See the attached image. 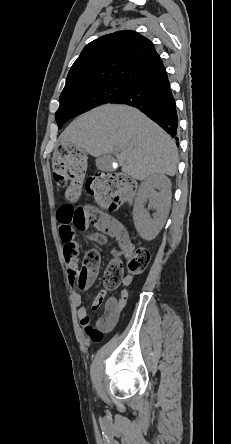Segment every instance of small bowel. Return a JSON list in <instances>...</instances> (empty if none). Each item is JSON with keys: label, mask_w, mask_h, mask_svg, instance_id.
<instances>
[{"label": "small bowel", "mask_w": 231, "mask_h": 444, "mask_svg": "<svg viewBox=\"0 0 231 444\" xmlns=\"http://www.w3.org/2000/svg\"><path fill=\"white\" fill-rule=\"evenodd\" d=\"M70 204H62L57 210V220L59 222V234L64 243V252L74 250L76 257L68 263L69 280L73 287L77 289V242L74 237L75 229L71 225L63 222L62 218ZM93 227L103 235L109 236L119 243L122 247H131L128 233L125 227L114 217L101 213L98 221ZM132 281V276L124 279V285L128 286ZM129 293L126 289L122 290L118 298L109 297L107 292L102 290L96 296L91 304V310L96 311L106 300L103 314L93 319L86 306L82 304L81 295L77 292L73 295L72 303L76 309L77 317L85 335L92 341H99L102 334L112 330L117 324L120 314L128 301Z\"/></svg>", "instance_id": "1"}]
</instances>
